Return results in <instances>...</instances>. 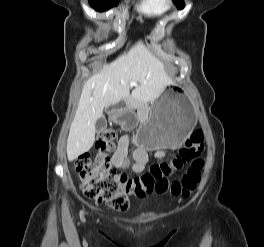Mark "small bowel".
<instances>
[{
    "mask_svg": "<svg viewBox=\"0 0 264 247\" xmlns=\"http://www.w3.org/2000/svg\"><path fill=\"white\" fill-rule=\"evenodd\" d=\"M129 148V137L127 135L123 136L116 148V151L112 157V163L116 168L123 169L129 165L127 158ZM158 157L162 156V152L157 153ZM134 163L132 165V170L134 172H141L144 170L145 165L148 161V155L143 149H136L133 152Z\"/></svg>",
    "mask_w": 264,
    "mask_h": 247,
    "instance_id": "obj_1",
    "label": "small bowel"
}]
</instances>
